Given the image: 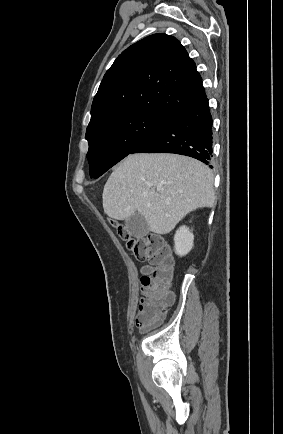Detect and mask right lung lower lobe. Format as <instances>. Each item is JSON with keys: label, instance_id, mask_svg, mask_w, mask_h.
<instances>
[{"label": "right lung lower lobe", "instance_id": "obj_1", "mask_svg": "<svg viewBox=\"0 0 283 434\" xmlns=\"http://www.w3.org/2000/svg\"><path fill=\"white\" fill-rule=\"evenodd\" d=\"M212 123L205 97L170 118L131 153H175L209 164L212 157Z\"/></svg>", "mask_w": 283, "mask_h": 434}]
</instances>
